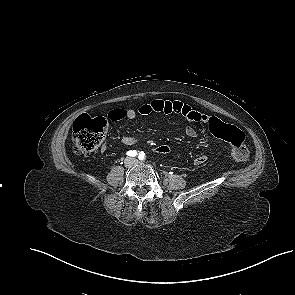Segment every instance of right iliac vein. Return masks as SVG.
Returning <instances> with one entry per match:
<instances>
[{"instance_id":"obj_1","label":"right iliac vein","mask_w":295,"mask_h":295,"mask_svg":"<svg viewBox=\"0 0 295 295\" xmlns=\"http://www.w3.org/2000/svg\"><path fill=\"white\" fill-rule=\"evenodd\" d=\"M124 164L126 167H130L133 164V160L131 158H127L125 159Z\"/></svg>"}]
</instances>
